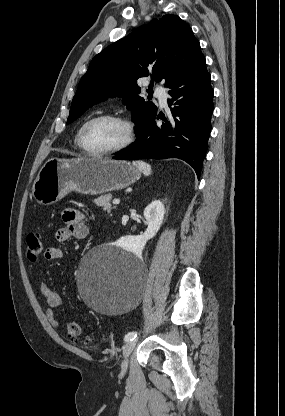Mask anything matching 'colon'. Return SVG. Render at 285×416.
I'll return each mask as SVG.
<instances>
[{
    "mask_svg": "<svg viewBox=\"0 0 285 416\" xmlns=\"http://www.w3.org/2000/svg\"><path fill=\"white\" fill-rule=\"evenodd\" d=\"M43 249V244L37 234H29L26 237V254L30 261H36ZM69 337L75 342L85 341L83 330L77 322H69L67 325Z\"/></svg>",
    "mask_w": 285,
    "mask_h": 416,
    "instance_id": "colon-1",
    "label": "colon"
}]
</instances>
